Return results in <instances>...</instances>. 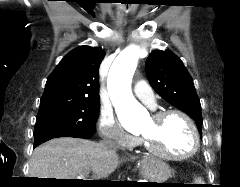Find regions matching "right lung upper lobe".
<instances>
[{
  "label": "right lung upper lobe",
  "mask_w": 240,
  "mask_h": 187,
  "mask_svg": "<svg viewBox=\"0 0 240 187\" xmlns=\"http://www.w3.org/2000/svg\"><path fill=\"white\" fill-rule=\"evenodd\" d=\"M101 48L80 46L70 51L47 79L40 105L58 102L100 101Z\"/></svg>",
  "instance_id": "cb5924a9"
}]
</instances>
